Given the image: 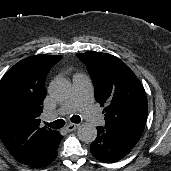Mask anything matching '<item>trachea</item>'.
Instances as JSON below:
<instances>
[{"label": "trachea", "instance_id": "trachea-1", "mask_svg": "<svg viewBox=\"0 0 171 171\" xmlns=\"http://www.w3.org/2000/svg\"><path fill=\"white\" fill-rule=\"evenodd\" d=\"M70 120L73 122V123H79L81 121V118L78 116V115H73ZM45 124L48 126V127H51L53 129H60L64 126L65 124V121L62 120V119H58L52 123H48V122H45Z\"/></svg>", "mask_w": 171, "mask_h": 171}]
</instances>
